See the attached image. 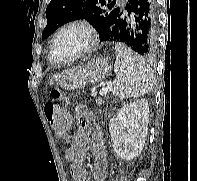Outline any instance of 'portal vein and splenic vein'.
Masks as SVG:
<instances>
[{"mask_svg": "<svg viewBox=\"0 0 197 181\" xmlns=\"http://www.w3.org/2000/svg\"><path fill=\"white\" fill-rule=\"evenodd\" d=\"M112 90H113L112 84L107 85L106 87H104L100 90V95L101 96L106 95L107 93L111 92Z\"/></svg>", "mask_w": 197, "mask_h": 181, "instance_id": "1", "label": "portal vein and splenic vein"}]
</instances>
